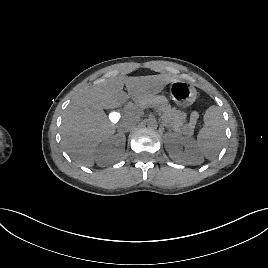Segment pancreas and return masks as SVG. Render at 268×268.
Wrapping results in <instances>:
<instances>
[{
    "label": "pancreas",
    "mask_w": 268,
    "mask_h": 268,
    "mask_svg": "<svg viewBox=\"0 0 268 268\" xmlns=\"http://www.w3.org/2000/svg\"><path fill=\"white\" fill-rule=\"evenodd\" d=\"M145 107H152L162 116L164 125L171 128L175 132L184 135H192L195 127V121L188 124L185 123V113L172 108L168 100L163 96H149L147 98L137 101L130 107L133 113H139Z\"/></svg>",
    "instance_id": "1"
}]
</instances>
